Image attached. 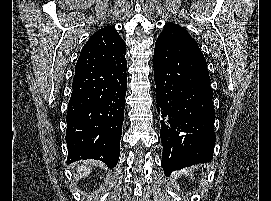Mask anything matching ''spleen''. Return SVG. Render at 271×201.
<instances>
[{
  "label": "spleen",
  "instance_id": "obj_1",
  "mask_svg": "<svg viewBox=\"0 0 271 201\" xmlns=\"http://www.w3.org/2000/svg\"><path fill=\"white\" fill-rule=\"evenodd\" d=\"M188 172H189V175L192 177L193 172H194V168L193 167L189 168Z\"/></svg>",
  "mask_w": 271,
  "mask_h": 201
}]
</instances>
